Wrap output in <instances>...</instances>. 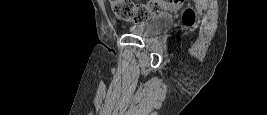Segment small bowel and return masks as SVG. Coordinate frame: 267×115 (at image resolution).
Returning <instances> with one entry per match:
<instances>
[{
  "instance_id": "c3829d8e",
  "label": "small bowel",
  "mask_w": 267,
  "mask_h": 115,
  "mask_svg": "<svg viewBox=\"0 0 267 115\" xmlns=\"http://www.w3.org/2000/svg\"><path fill=\"white\" fill-rule=\"evenodd\" d=\"M181 1L177 0H172V1H166L162 3V6L164 7L165 10L167 11H178L181 8Z\"/></svg>"
}]
</instances>
